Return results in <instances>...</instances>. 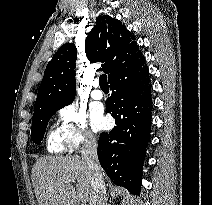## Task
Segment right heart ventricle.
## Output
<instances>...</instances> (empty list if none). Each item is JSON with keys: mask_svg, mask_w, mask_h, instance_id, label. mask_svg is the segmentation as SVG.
Listing matches in <instances>:
<instances>
[{"mask_svg": "<svg viewBox=\"0 0 212 205\" xmlns=\"http://www.w3.org/2000/svg\"><path fill=\"white\" fill-rule=\"evenodd\" d=\"M60 135L57 131L51 130L47 137V149L51 153H62L66 150Z\"/></svg>", "mask_w": 212, "mask_h": 205, "instance_id": "1", "label": "right heart ventricle"}]
</instances>
